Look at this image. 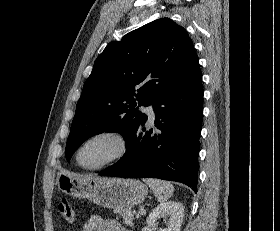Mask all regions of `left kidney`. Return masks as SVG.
Masks as SVG:
<instances>
[{
	"instance_id": "obj_1",
	"label": "left kidney",
	"mask_w": 280,
	"mask_h": 231,
	"mask_svg": "<svg viewBox=\"0 0 280 231\" xmlns=\"http://www.w3.org/2000/svg\"><path fill=\"white\" fill-rule=\"evenodd\" d=\"M185 207L180 201H166V203H160L157 205L146 221L148 225L155 227L158 223V219L163 217V221H166L167 227H160L158 231H180L181 223L183 221Z\"/></svg>"
}]
</instances>
